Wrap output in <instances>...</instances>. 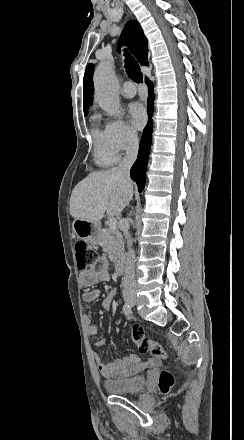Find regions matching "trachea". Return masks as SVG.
<instances>
[{
    "label": "trachea",
    "instance_id": "3493384b",
    "mask_svg": "<svg viewBox=\"0 0 244 440\" xmlns=\"http://www.w3.org/2000/svg\"><path fill=\"white\" fill-rule=\"evenodd\" d=\"M125 56L126 73L134 82L142 83L143 75L138 63L129 53H125Z\"/></svg>",
    "mask_w": 244,
    "mask_h": 440
}]
</instances>
